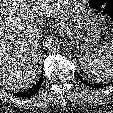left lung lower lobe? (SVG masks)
<instances>
[{"instance_id":"1","label":"left lung lower lobe","mask_w":113,"mask_h":113,"mask_svg":"<svg viewBox=\"0 0 113 113\" xmlns=\"http://www.w3.org/2000/svg\"><path fill=\"white\" fill-rule=\"evenodd\" d=\"M78 77L80 78V80L87 86L92 87V88H101L103 87L101 84H92L91 82H88L86 80H83L82 77L80 75H78ZM106 86V85H105Z\"/></svg>"}]
</instances>
